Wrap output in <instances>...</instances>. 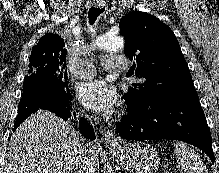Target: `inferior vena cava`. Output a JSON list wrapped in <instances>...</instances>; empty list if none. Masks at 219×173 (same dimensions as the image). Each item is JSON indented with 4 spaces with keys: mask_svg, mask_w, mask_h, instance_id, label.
<instances>
[{
    "mask_svg": "<svg viewBox=\"0 0 219 173\" xmlns=\"http://www.w3.org/2000/svg\"><path fill=\"white\" fill-rule=\"evenodd\" d=\"M96 154V147L89 142H84V139L81 138L80 156L75 165V173H90V160L94 159Z\"/></svg>",
    "mask_w": 219,
    "mask_h": 173,
    "instance_id": "602c4592",
    "label": "inferior vena cava"
}]
</instances>
